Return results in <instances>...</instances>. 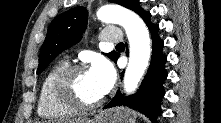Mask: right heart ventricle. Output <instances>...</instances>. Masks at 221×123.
<instances>
[{"instance_id": "obj_1", "label": "right heart ventricle", "mask_w": 221, "mask_h": 123, "mask_svg": "<svg viewBox=\"0 0 221 123\" xmlns=\"http://www.w3.org/2000/svg\"><path fill=\"white\" fill-rule=\"evenodd\" d=\"M68 63L66 61H59L53 65L42 81L37 112L38 115L45 119H66L76 114V110H73L64 104H62L55 96L54 93V80L58 73L63 70Z\"/></svg>"}]
</instances>
